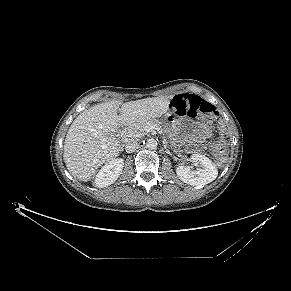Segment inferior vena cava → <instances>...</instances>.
<instances>
[{
    "mask_svg": "<svg viewBox=\"0 0 291 291\" xmlns=\"http://www.w3.org/2000/svg\"><path fill=\"white\" fill-rule=\"evenodd\" d=\"M138 148H139V143L135 139H131L130 141H128L126 146H125V150L127 153H132L135 150H137Z\"/></svg>",
    "mask_w": 291,
    "mask_h": 291,
    "instance_id": "obj_1",
    "label": "inferior vena cava"
}]
</instances>
